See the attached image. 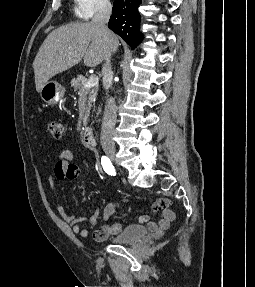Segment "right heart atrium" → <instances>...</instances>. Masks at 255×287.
Segmentation results:
<instances>
[{
    "mask_svg": "<svg viewBox=\"0 0 255 287\" xmlns=\"http://www.w3.org/2000/svg\"><path fill=\"white\" fill-rule=\"evenodd\" d=\"M60 48H80V47H60Z\"/></svg>",
    "mask_w": 255,
    "mask_h": 287,
    "instance_id": "obj_1",
    "label": "right heart atrium"
}]
</instances>
